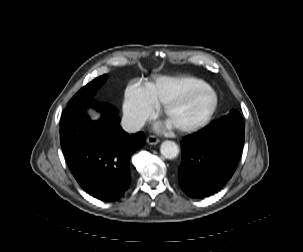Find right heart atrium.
Returning a JSON list of instances; mask_svg holds the SVG:
<instances>
[{
	"label": "right heart atrium",
	"mask_w": 303,
	"mask_h": 252,
	"mask_svg": "<svg viewBox=\"0 0 303 252\" xmlns=\"http://www.w3.org/2000/svg\"><path fill=\"white\" fill-rule=\"evenodd\" d=\"M122 109L126 126L136 129L154 115L157 106L151 102L142 87L131 85L125 93Z\"/></svg>",
	"instance_id": "d8ad5b80"
}]
</instances>
